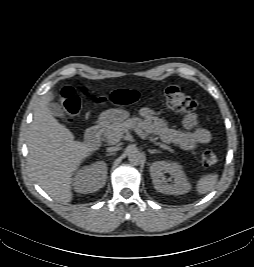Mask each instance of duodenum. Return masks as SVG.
I'll use <instances>...</instances> for the list:
<instances>
[{"mask_svg": "<svg viewBox=\"0 0 254 267\" xmlns=\"http://www.w3.org/2000/svg\"><path fill=\"white\" fill-rule=\"evenodd\" d=\"M102 133L103 125L100 123H97L88 128L85 133L86 144L92 148H97L101 142Z\"/></svg>", "mask_w": 254, "mask_h": 267, "instance_id": "duodenum-1", "label": "duodenum"}]
</instances>
